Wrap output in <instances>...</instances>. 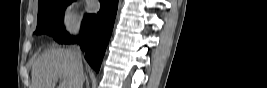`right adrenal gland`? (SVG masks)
<instances>
[{
	"mask_svg": "<svg viewBox=\"0 0 267 88\" xmlns=\"http://www.w3.org/2000/svg\"><path fill=\"white\" fill-rule=\"evenodd\" d=\"M85 80H86L87 88H89V81H88V77L87 76H85Z\"/></svg>",
	"mask_w": 267,
	"mask_h": 88,
	"instance_id": "2a0ac1e0",
	"label": "right adrenal gland"
}]
</instances>
